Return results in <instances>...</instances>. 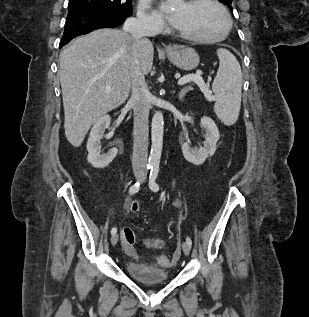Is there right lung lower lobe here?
Instances as JSON below:
<instances>
[{"label":"right lung lower lobe","instance_id":"98d812e1","mask_svg":"<svg viewBox=\"0 0 309 317\" xmlns=\"http://www.w3.org/2000/svg\"><path fill=\"white\" fill-rule=\"evenodd\" d=\"M128 16L96 10H69L60 48L73 38L100 28L121 25Z\"/></svg>","mask_w":309,"mask_h":317}]
</instances>
